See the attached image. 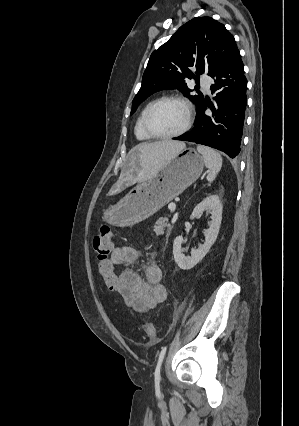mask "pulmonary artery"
Masks as SVG:
<instances>
[{
  "label": "pulmonary artery",
  "instance_id": "obj_1",
  "mask_svg": "<svg viewBox=\"0 0 299 426\" xmlns=\"http://www.w3.org/2000/svg\"><path fill=\"white\" fill-rule=\"evenodd\" d=\"M201 83H202L203 88L207 92H209L210 91V87H211V79L209 77L205 76V77H203L201 79Z\"/></svg>",
  "mask_w": 299,
  "mask_h": 426
}]
</instances>
